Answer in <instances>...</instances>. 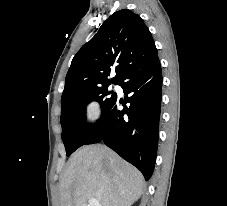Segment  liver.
Returning a JSON list of instances; mask_svg holds the SVG:
<instances>
[{"label":"liver","mask_w":227,"mask_h":206,"mask_svg":"<svg viewBox=\"0 0 227 206\" xmlns=\"http://www.w3.org/2000/svg\"><path fill=\"white\" fill-rule=\"evenodd\" d=\"M140 171L104 145L76 151L60 180L59 206H88L95 198L101 206H131L143 193Z\"/></svg>","instance_id":"liver-1"}]
</instances>
